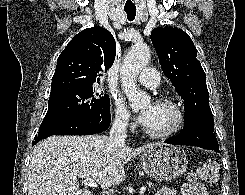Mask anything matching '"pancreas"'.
<instances>
[{
    "mask_svg": "<svg viewBox=\"0 0 245 195\" xmlns=\"http://www.w3.org/2000/svg\"><path fill=\"white\" fill-rule=\"evenodd\" d=\"M149 184V186L152 188V189H154L155 187H156V184L155 183H148Z\"/></svg>",
    "mask_w": 245,
    "mask_h": 195,
    "instance_id": "cf45deb5",
    "label": "pancreas"
}]
</instances>
